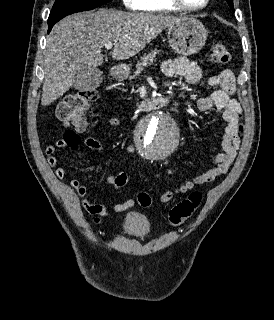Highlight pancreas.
I'll list each match as a JSON object with an SVG mask.
<instances>
[{
  "label": "pancreas",
  "mask_w": 274,
  "mask_h": 320,
  "mask_svg": "<svg viewBox=\"0 0 274 320\" xmlns=\"http://www.w3.org/2000/svg\"><path fill=\"white\" fill-rule=\"evenodd\" d=\"M159 50H153V52H151V54H146V56H144V58H141V62H138L137 66H136V72H135V76H138V74H140V72H142L144 66H147V64H152V62H154V60H156V54H158ZM135 76H130V80H134Z\"/></svg>",
  "instance_id": "1"
}]
</instances>
